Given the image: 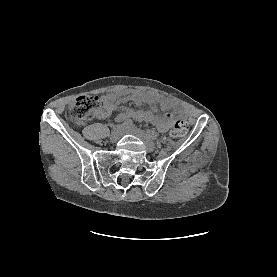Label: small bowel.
<instances>
[{
  "instance_id": "small-bowel-1",
  "label": "small bowel",
  "mask_w": 277,
  "mask_h": 277,
  "mask_svg": "<svg viewBox=\"0 0 277 277\" xmlns=\"http://www.w3.org/2000/svg\"><path fill=\"white\" fill-rule=\"evenodd\" d=\"M122 95H127L128 98L136 104H147L153 107V111H137L134 109H127L118 115L117 119H130L133 118L137 121L150 122L154 124L160 131H168L172 126L175 115L165 113L173 108V103L166 99L160 98L150 92L128 91L127 93H108L102 96L103 110L101 117L107 118L115 109L117 101Z\"/></svg>"
}]
</instances>
